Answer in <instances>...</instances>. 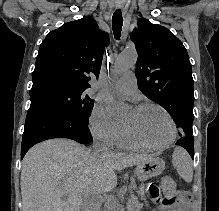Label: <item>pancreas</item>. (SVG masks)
Segmentation results:
<instances>
[{
    "label": "pancreas",
    "instance_id": "obj_1",
    "mask_svg": "<svg viewBox=\"0 0 219 211\" xmlns=\"http://www.w3.org/2000/svg\"><path fill=\"white\" fill-rule=\"evenodd\" d=\"M128 211H137L139 207H142V202H137L136 199H127Z\"/></svg>",
    "mask_w": 219,
    "mask_h": 211
}]
</instances>
